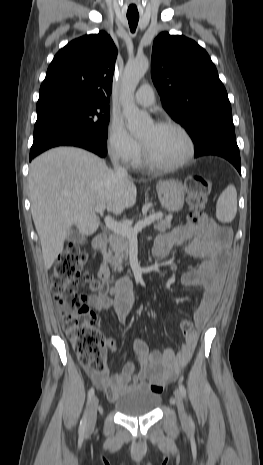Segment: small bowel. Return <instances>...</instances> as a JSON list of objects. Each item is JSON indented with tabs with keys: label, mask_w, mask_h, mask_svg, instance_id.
<instances>
[{
	"label": "small bowel",
	"mask_w": 263,
	"mask_h": 465,
	"mask_svg": "<svg viewBox=\"0 0 263 465\" xmlns=\"http://www.w3.org/2000/svg\"><path fill=\"white\" fill-rule=\"evenodd\" d=\"M229 242L228 231L217 227L201 228L191 223L178 225L157 237L153 254L158 258H165L174 247H181L185 254L202 259L198 267L190 269L182 276L184 286L204 289L195 311L197 329L186 334L185 341L177 352L171 348L163 352L150 351L147 344L137 338L134 343L139 364L137 372L132 363H126L115 374H110L108 369L98 373L91 372L93 382L107 392L110 401L117 400L136 386H145L160 393L188 364L196 348L199 331L210 319L220 298ZM132 286V280L124 276L117 283L118 293L115 298L93 295L89 297V303L99 311L112 309L119 322L125 323L133 309ZM107 343L113 350L116 349L114 339H109Z\"/></svg>",
	"instance_id": "obj_1"
}]
</instances>
